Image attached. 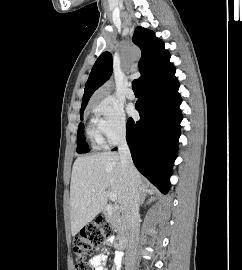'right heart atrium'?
Here are the masks:
<instances>
[{
  "instance_id": "d8ad5b80",
  "label": "right heart atrium",
  "mask_w": 242,
  "mask_h": 270,
  "mask_svg": "<svg viewBox=\"0 0 242 270\" xmlns=\"http://www.w3.org/2000/svg\"><path fill=\"white\" fill-rule=\"evenodd\" d=\"M93 112L103 143L113 145L126 136L127 122L123 108L111 97H98L94 101Z\"/></svg>"
}]
</instances>
